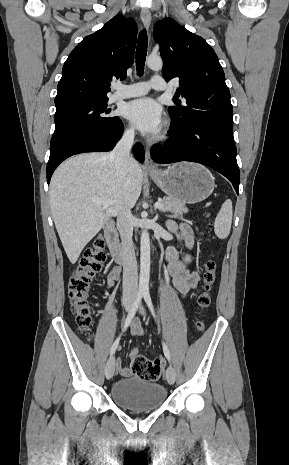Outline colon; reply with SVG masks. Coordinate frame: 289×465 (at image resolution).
Returning <instances> with one entry per match:
<instances>
[{
	"label": "colon",
	"instance_id": "1",
	"mask_svg": "<svg viewBox=\"0 0 289 465\" xmlns=\"http://www.w3.org/2000/svg\"><path fill=\"white\" fill-rule=\"evenodd\" d=\"M212 227V223L210 224ZM104 240L101 236L94 239L85 250L78 267L69 280L68 293L72 311L76 319L78 329L87 333L92 324L91 307L89 303V290L94 275L100 270L105 259ZM216 278V262L209 259L205 263L202 276V291L197 297V307L203 313L211 304V289ZM199 332L204 329L202 319L196 323ZM130 368L132 372L142 380L157 381L163 372V360L161 358L149 359L137 350L131 353Z\"/></svg>",
	"mask_w": 289,
	"mask_h": 465
}]
</instances>
